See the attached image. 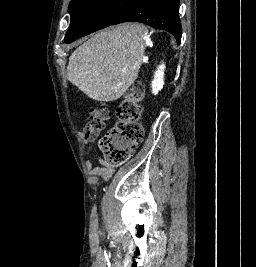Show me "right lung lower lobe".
<instances>
[{"label": "right lung lower lobe", "instance_id": "obj_1", "mask_svg": "<svg viewBox=\"0 0 256 267\" xmlns=\"http://www.w3.org/2000/svg\"><path fill=\"white\" fill-rule=\"evenodd\" d=\"M179 0H138L111 25L122 22H141L172 33L181 41V23L178 15Z\"/></svg>", "mask_w": 256, "mask_h": 267}]
</instances>
